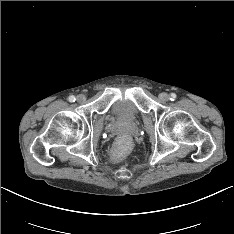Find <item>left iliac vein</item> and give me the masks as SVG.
Returning <instances> with one entry per match:
<instances>
[{
    "label": "left iliac vein",
    "mask_w": 234,
    "mask_h": 234,
    "mask_svg": "<svg viewBox=\"0 0 234 234\" xmlns=\"http://www.w3.org/2000/svg\"><path fill=\"white\" fill-rule=\"evenodd\" d=\"M159 99L162 101V102H166L169 100V95L167 93H160L159 94Z\"/></svg>",
    "instance_id": "left-iliac-vein-1"
}]
</instances>
